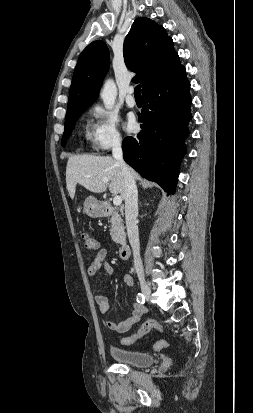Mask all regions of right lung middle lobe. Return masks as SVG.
<instances>
[{"label": "right lung middle lobe", "instance_id": "1", "mask_svg": "<svg viewBox=\"0 0 253 413\" xmlns=\"http://www.w3.org/2000/svg\"><path fill=\"white\" fill-rule=\"evenodd\" d=\"M81 114L82 113L65 119V129H64V134H63V137H62V146L66 145V140L70 136L72 130L74 129L75 122L79 119Z\"/></svg>", "mask_w": 253, "mask_h": 413}]
</instances>
